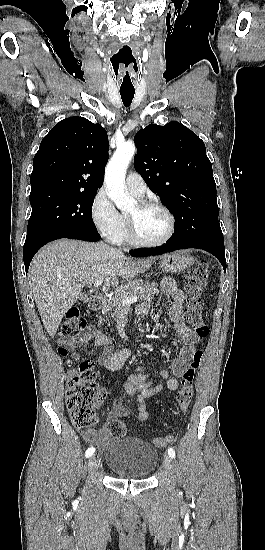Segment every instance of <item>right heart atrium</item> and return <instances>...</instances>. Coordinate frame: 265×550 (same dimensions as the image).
<instances>
[{
  "instance_id": "1",
  "label": "right heart atrium",
  "mask_w": 265,
  "mask_h": 550,
  "mask_svg": "<svg viewBox=\"0 0 265 550\" xmlns=\"http://www.w3.org/2000/svg\"><path fill=\"white\" fill-rule=\"evenodd\" d=\"M90 217L96 230L106 239L118 241L121 237L123 232L121 214L104 188L98 190L92 199Z\"/></svg>"
}]
</instances>
